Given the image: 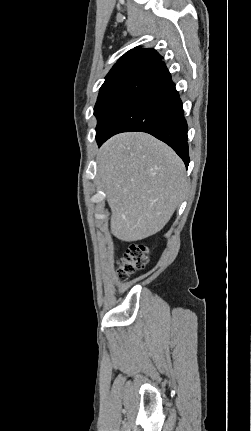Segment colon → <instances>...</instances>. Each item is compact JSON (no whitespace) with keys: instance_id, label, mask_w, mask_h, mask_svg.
Segmentation results:
<instances>
[{"instance_id":"obj_1","label":"colon","mask_w":251,"mask_h":431,"mask_svg":"<svg viewBox=\"0 0 251 431\" xmlns=\"http://www.w3.org/2000/svg\"><path fill=\"white\" fill-rule=\"evenodd\" d=\"M149 261V249L144 244H132L127 248L119 261L121 276L129 275L143 269Z\"/></svg>"}]
</instances>
